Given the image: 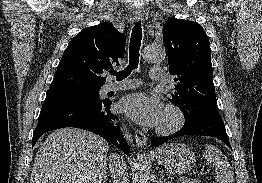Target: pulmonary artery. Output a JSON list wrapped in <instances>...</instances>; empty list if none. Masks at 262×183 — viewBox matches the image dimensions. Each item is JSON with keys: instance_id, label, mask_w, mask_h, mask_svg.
Returning a JSON list of instances; mask_svg holds the SVG:
<instances>
[{"instance_id": "obj_1", "label": "pulmonary artery", "mask_w": 262, "mask_h": 183, "mask_svg": "<svg viewBox=\"0 0 262 183\" xmlns=\"http://www.w3.org/2000/svg\"><path fill=\"white\" fill-rule=\"evenodd\" d=\"M150 77H151L152 80L157 81V82L164 81V79H165V76H164L162 70L158 69V68H152L150 70ZM138 85H139L138 80H127V81H124L122 83L109 84L107 86V90L111 91V90L132 89V88L137 87Z\"/></svg>"}]
</instances>
